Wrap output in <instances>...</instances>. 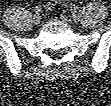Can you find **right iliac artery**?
<instances>
[{
    "label": "right iliac artery",
    "instance_id": "82829eb1",
    "mask_svg": "<svg viewBox=\"0 0 111 106\" xmlns=\"http://www.w3.org/2000/svg\"><path fill=\"white\" fill-rule=\"evenodd\" d=\"M41 11V7L40 6H36L34 9L35 13H39Z\"/></svg>",
    "mask_w": 111,
    "mask_h": 106
}]
</instances>
